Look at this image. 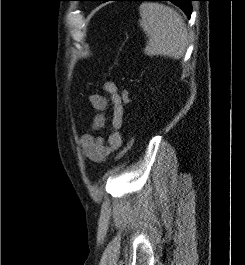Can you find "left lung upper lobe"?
Wrapping results in <instances>:
<instances>
[{
	"label": "left lung upper lobe",
	"instance_id": "1",
	"mask_svg": "<svg viewBox=\"0 0 245 265\" xmlns=\"http://www.w3.org/2000/svg\"><path fill=\"white\" fill-rule=\"evenodd\" d=\"M88 1H104V0H88Z\"/></svg>",
	"mask_w": 245,
	"mask_h": 265
}]
</instances>
